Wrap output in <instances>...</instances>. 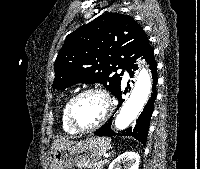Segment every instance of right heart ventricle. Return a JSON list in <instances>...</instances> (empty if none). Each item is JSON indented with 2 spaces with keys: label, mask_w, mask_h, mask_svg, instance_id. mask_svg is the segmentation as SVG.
Segmentation results:
<instances>
[{
  "label": "right heart ventricle",
  "mask_w": 200,
  "mask_h": 169,
  "mask_svg": "<svg viewBox=\"0 0 200 169\" xmlns=\"http://www.w3.org/2000/svg\"><path fill=\"white\" fill-rule=\"evenodd\" d=\"M72 96L68 95L65 100L63 101L62 104V110H61V124H62V128L65 132L70 133V134H74L76 133V130L71 126L69 120H68V116H67V107L69 104V101L71 100Z\"/></svg>",
  "instance_id": "obj_1"
}]
</instances>
